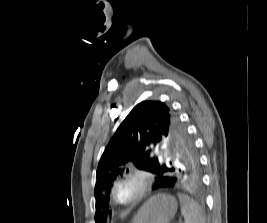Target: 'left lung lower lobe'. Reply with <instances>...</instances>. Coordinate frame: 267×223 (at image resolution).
<instances>
[{
    "instance_id": "1",
    "label": "left lung lower lobe",
    "mask_w": 267,
    "mask_h": 223,
    "mask_svg": "<svg viewBox=\"0 0 267 223\" xmlns=\"http://www.w3.org/2000/svg\"><path fill=\"white\" fill-rule=\"evenodd\" d=\"M201 171H168L156 173L157 182L152 192H167V194H183V189H199Z\"/></svg>"
}]
</instances>
